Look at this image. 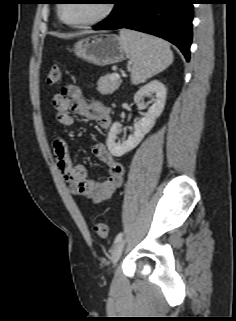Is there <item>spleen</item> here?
<instances>
[{
  "mask_svg": "<svg viewBox=\"0 0 236 321\" xmlns=\"http://www.w3.org/2000/svg\"><path fill=\"white\" fill-rule=\"evenodd\" d=\"M119 39L130 58L131 81L135 85L162 72L173 62L170 46L162 39L127 29L120 30Z\"/></svg>",
  "mask_w": 236,
  "mask_h": 321,
  "instance_id": "1",
  "label": "spleen"
}]
</instances>
